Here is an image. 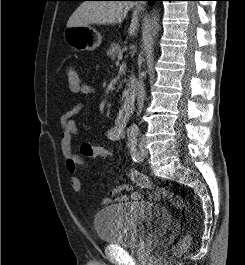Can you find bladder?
Here are the masks:
<instances>
[{
	"label": "bladder",
	"mask_w": 245,
	"mask_h": 265,
	"mask_svg": "<svg viewBox=\"0 0 245 265\" xmlns=\"http://www.w3.org/2000/svg\"><path fill=\"white\" fill-rule=\"evenodd\" d=\"M166 209L148 201L111 204L98 211L94 229L101 241L126 248H140L167 230Z\"/></svg>",
	"instance_id": "obj_1"
}]
</instances>
